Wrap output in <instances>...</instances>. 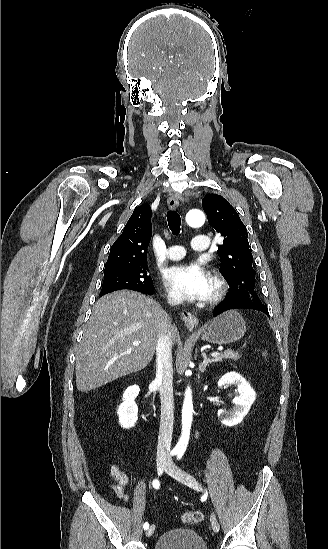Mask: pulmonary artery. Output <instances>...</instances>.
Segmentation results:
<instances>
[{
  "instance_id": "e3ab8cb5",
  "label": "pulmonary artery",
  "mask_w": 328,
  "mask_h": 549,
  "mask_svg": "<svg viewBox=\"0 0 328 549\" xmlns=\"http://www.w3.org/2000/svg\"><path fill=\"white\" fill-rule=\"evenodd\" d=\"M190 246L195 252H209L211 249V244L209 241H205L204 238L193 237L189 241ZM188 253V250L185 246H174L172 250L167 251V257L171 260H178L182 257H185Z\"/></svg>"
}]
</instances>
